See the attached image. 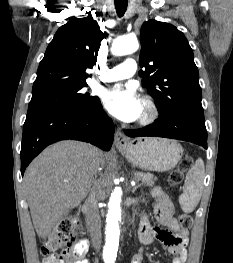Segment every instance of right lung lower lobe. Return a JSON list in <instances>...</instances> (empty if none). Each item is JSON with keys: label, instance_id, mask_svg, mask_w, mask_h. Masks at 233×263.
<instances>
[{"label": "right lung lower lobe", "instance_id": "1", "mask_svg": "<svg viewBox=\"0 0 233 263\" xmlns=\"http://www.w3.org/2000/svg\"><path fill=\"white\" fill-rule=\"evenodd\" d=\"M114 125L95 103L72 111H56L26 118L21 144V173L45 147L63 139L89 142L108 151L113 143Z\"/></svg>", "mask_w": 233, "mask_h": 263}]
</instances>
